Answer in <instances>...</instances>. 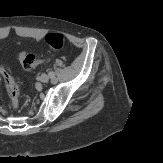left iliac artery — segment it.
I'll return each mask as SVG.
<instances>
[{
  "label": "left iliac artery",
  "mask_w": 163,
  "mask_h": 163,
  "mask_svg": "<svg viewBox=\"0 0 163 163\" xmlns=\"http://www.w3.org/2000/svg\"><path fill=\"white\" fill-rule=\"evenodd\" d=\"M48 75L51 79H55V73L53 71H48Z\"/></svg>",
  "instance_id": "obj_1"
}]
</instances>
